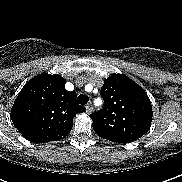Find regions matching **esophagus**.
Masks as SVG:
<instances>
[{
    "label": "esophagus",
    "mask_w": 182,
    "mask_h": 182,
    "mask_svg": "<svg viewBox=\"0 0 182 182\" xmlns=\"http://www.w3.org/2000/svg\"><path fill=\"white\" fill-rule=\"evenodd\" d=\"M92 111H93V105H92V103L90 102V103H88V104L86 105V112H87V114H90V113H92Z\"/></svg>",
    "instance_id": "obj_1"
}]
</instances>
